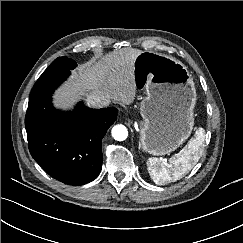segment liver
Here are the masks:
<instances>
[{
  "label": "liver",
  "instance_id": "liver-1",
  "mask_svg": "<svg viewBox=\"0 0 243 243\" xmlns=\"http://www.w3.org/2000/svg\"><path fill=\"white\" fill-rule=\"evenodd\" d=\"M142 53L139 49L122 48L103 56L98 61L83 64L73 72L70 81L54 96L57 108H70L82 95L100 90L110 99L122 104H131L137 93L134 77V61Z\"/></svg>",
  "mask_w": 243,
  "mask_h": 243
}]
</instances>
